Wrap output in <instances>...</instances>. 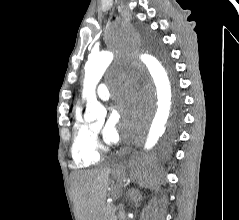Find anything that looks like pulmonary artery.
Wrapping results in <instances>:
<instances>
[{"mask_svg":"<svg viewBox=\"0 0 239 220\" xmlns=\"http://www.w3.org/2000/svg\"><path fill=\"white\" fill-rule=\"evenodd\" d=\"M97 95L101 100H108L110 98V92L106 84H100L97 88Z\"/></svg>","mask_w":239,"mask_h":220,"instance_id":"obj_1","label":"pulmonary artery"}]
</instances>
